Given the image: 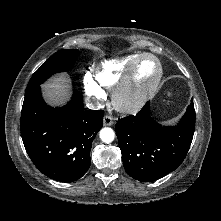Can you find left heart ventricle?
I'll list each match as a JSON object with an SVG mask.
<instances>
[{
    "instance_id": "left-heart-ventricle-1",
    "label": "left heart ventricle",
    "mask_w": 221,
    "mask_h": 221,
    "mask_svg": "<svg viewBox=\"0 0 221 221\" xmlns=\"http://www.w3.org/2000/svg\"><path fill=\"white\" fill-rule=\"evenodd\" d=\"M158 72L156 62L150 58L142 60L135 72L133 91L138 92L149 86Z\"/></svg>"
}]
</instances>
